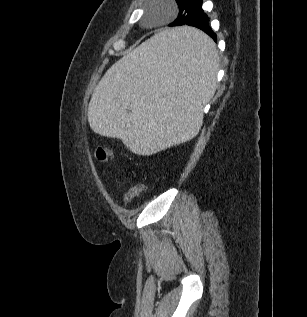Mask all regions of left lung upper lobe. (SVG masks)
<instances>
[{
  "instance_id": "obj_1",
  "label": "left lung upper lobe",
  "mask_w": 307,
  "mask_h": 317,
  "mask_svg": "<svg viewBox=\"0 0 307 317\" xmlns=\"http://www.w3.org/2000/svg\"><path fill=\"white\" fill-rule=\"evenodd\" d=\"M179 9L176 20L169 26H179L183 23L185 18L193 16L199 8L202 0H175Z\"/></svg>"
}]
</instances>
